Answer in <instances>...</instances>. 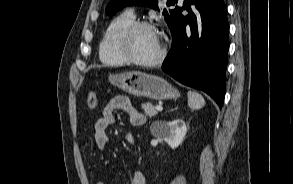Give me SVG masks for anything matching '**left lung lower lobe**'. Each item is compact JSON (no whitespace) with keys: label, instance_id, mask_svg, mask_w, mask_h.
<instances>
[{"label":"left lung lower lobe","instance_id":"left-lung-lower-lobe-1","mask_svg":"<svg viewBox=\"0 0 293 184\" xmlns=\"http://www.w3.org/2000/svg\"><path fill=\"white\" fill-rule=\"evenodd\" d=\"M183 10L188 14L182 15ZM174 11L169 26L172 46L162 70L206 92L222 107L229 49L227 7L223 0H184Z\"/></svg>","mask_w":293,"mask_h":184}]
</instances>
